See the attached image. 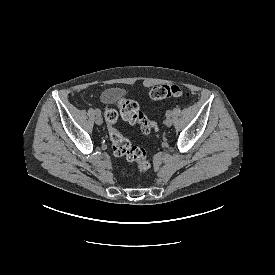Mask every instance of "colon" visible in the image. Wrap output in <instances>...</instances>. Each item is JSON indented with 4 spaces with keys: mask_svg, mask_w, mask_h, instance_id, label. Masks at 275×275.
<instances>
[{
    "mask_svg": "<svg viewBox=\"0 0 275 275\" xmlns=\"http://www.w3.org/2000/svg\"><path fill=\"white\" fill-rule=\"evenodd\" d=\"M188 96V92L177 84H161L153 87L150 91V97L154 100H161L169 97ZM119 106L122 116L130 123L139 125L144 134H151L158 131L156 122L147 117L139 108L136 102L130 99H120ZM105 119L108 123L109 137L112 142V149L116 156L125 157L128 162L137 164L140 173H146L151 167V162L144 149L132 147L130 141L123 136L113 124L118 118L115 109L107 107L104 111Z\"/></svg>",
    "mask_w": 275,
    "mask_h": 275,
    "instance_id": "1",
    "label": "colon"
}]
</instances>
